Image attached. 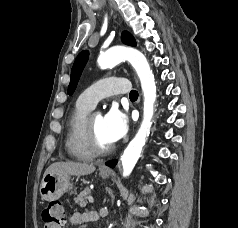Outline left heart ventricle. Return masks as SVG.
I'll use <instances>...</instances> for the list:
<instances>
[{
    "label": "left heart ventricle",
    "mask_w": 238,
    "mask_h": 228,
    "mask_svg": "<svg viewBox=\"0 0 238 228\" xmlns=\"http://www.w3.org/2000/svg\"><path fill=\"white\" fill-rule=\"evenodd\" d=\"M92 125L94 127L97 140L101 146H110L112 143L106 137L103 126V118L101 116L92 117Z\"/></svg>",
    "instance_id": "b2bd125f"
}]
</instances>
